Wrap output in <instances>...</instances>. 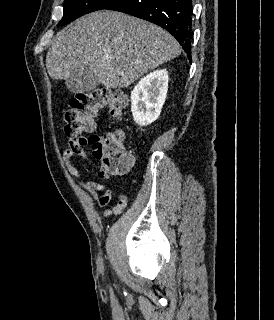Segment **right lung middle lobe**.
Instances as JSON below:
<instances>
[{"label": "right lung middle lobe", "mask_w": 274, "mask_h": 320, "mask_svg": "<svg viewBox=\"0 0 274 320\" xmlns=\"http://www.w3.org/2000/svg\"><path fill=\"white\" fill-rule=\"evenodd\" d=\"M114 0H64V15L58 26L68 24L78 17L101 10Z\"/></svg>", "instance_id": "dd1d6c3e"}]
</instances>
